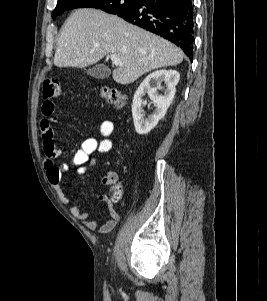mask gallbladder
Wrapping results in <instances>:
<instances>
[{
	"instance_id": "1",
	"label": "gallbladder",
	"mask_w": 267,
	"mask_h": 301,
	"mask_svg": "<svg viewBox=\"0 0 267 301\" xmlns=\"http://www.w3.org/2000/svg\"><path fill=\"white\" fill-rule=\"evenodd\" d=\"M85 72L95 79H106L111 73L110 69L103 64H98L93 67H90L86 69Z\"/></svg>"
}]
</instances>
